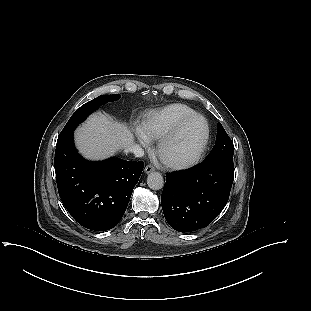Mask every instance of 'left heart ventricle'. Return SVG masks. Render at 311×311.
<instances>
[{"label": "left heart ventricle", "instance_id": "1", "mask_svg": "<svg viewBox=\"0 0 311 311\" xmlns=\"http://www.w3.org/2000/svg\"><path fill=\"white\" fill-rule=\"evenodd\" d=\"M204 135L202 120L195 119L188 123L178 136L165 148L164 155L173 160L191 157L199 147Z\"/></svg>", "mask_w": 311, "mask_h": 311}]
</instances>
